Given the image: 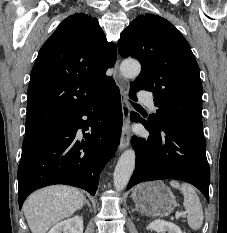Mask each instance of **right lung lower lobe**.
Returning a JSON list of instances; mask_svg holds the SVG:
<instances>
[{
    "mask_svg": "<svg viewBox=\"0 0 227 233\" xmlns=\"http://www.w3.org/2000/svg\"><path fill=\"white\" fill-rule=\"evenodd\" d=\"M121 124L120 91L113 81L108 92L81 111L26 134L18 167L19 208L30 193L53 184L95 195L101 170L119 145ZM80 128L91 133L81 138Z\"/></svg>",
    "mask_w": 227,
    "mask_h": 233,
    "instance_id": "obj_1",
    "label": "right lung lower lobe"
}]
</instances>
